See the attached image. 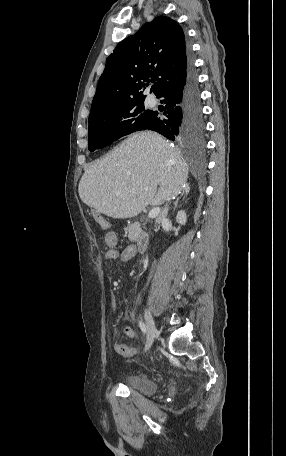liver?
<instances>
[{
	"instance_id": "liver-1",
	"label": "liver",
	"mask_w": 286,
	"mask_h": 456,
	"mask_svg": "<svg viewBox=\"0 0 286 456\" xmlns=\"http://www.w3.org/2000/svg\"><path fill=\"white\" fill-rule=\"evenodd\" d=\"M188 166L179 149L152 131L135 133L92 163L82 176L81 200L113 218H130L186 186ZM159 189L157 191V187Z\"/></svg>"
}]
</instances>
